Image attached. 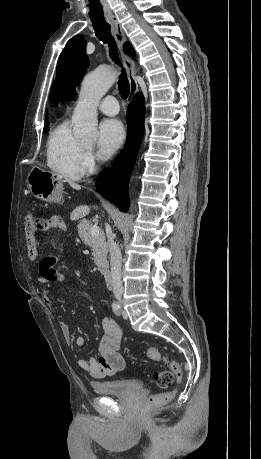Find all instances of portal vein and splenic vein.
Wrapping results in <instances>:
<instances>
[{
  "label": "portal vein and splenic vein",
  "instance_id": "18ae733b",
  "mask_svg": "<svg viewBox=\"0 0 261 459\" xmlns=\"http://www.w3.org/2000/svg\"><path fill=\"white\" fill-rule=\"evenodd\" d=\"M99 232H100V228L97 225H93L90 230L91 236H96L99 234Z\"/></svg>",
  "mask_w": 261,
  "mask_h": 459
}]
</instances>
